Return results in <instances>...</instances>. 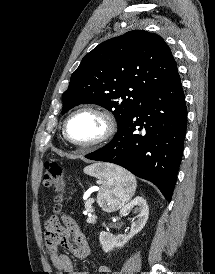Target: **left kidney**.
<instances>
[{"label": "left kidney", "mask_w": 215, "mask_h": 274, "mask_svg": "<svg viewBox=\"0 0 215 274\" xmlns=\"http://www.w3.org/2000/svg\"><path fill=\"white\" fill-rule=\"evenodd\" d=\"M130 210H133V213L137 216L132 220L130 233L128 235H117L115 237L105 231L100 233L99 240L104 252L107 253L115 247H123L145 226L149 215V208L146 200L143 197H136L121 208L120 215L126 216Z\"/></svg>", "instance_id": "1"}]
</instances>
